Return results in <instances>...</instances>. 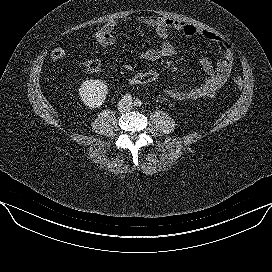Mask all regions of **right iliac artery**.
Masks as SVG:
<instances>
[{
  "mask_svg": "<svg viewBox=\"0 0 272 272\" xmlns=\"http://www.w3.org/2000/svg\"><path fill=\"white\" fill-rule=\"evenodd\" d=\"M123 100L131 101L132 100V95L131 94H125L124 97H123Z\"/></svg>",
  "mask_w": 272,
  "mask_h": 272,
  "instance_id": "1",
  "label": "right iliac artery"
}]
</instances>
